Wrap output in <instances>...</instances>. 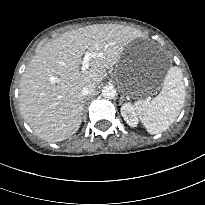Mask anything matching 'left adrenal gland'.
Listing matches in <instances>:
<instances>
[{
	"mask_svg": "<svg viewBox=\"0 0 205 205\" xmlns=\"http://www.w3.org/2000/svg\"><path fill=\"white\" fill-rule=\"evenodd\" d=\"M124 95H121V97H120V105L122 104V102L124 101Z\"/></svg>",
	"mask_w": 205,
	"mask_h": 205,
	"instance_id": "1",
	"label": "left adrenal gland"
}]
</instances>
